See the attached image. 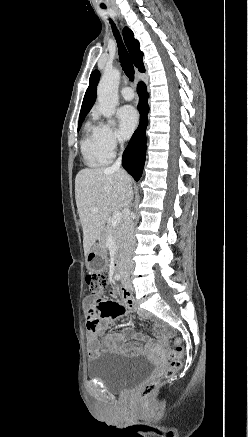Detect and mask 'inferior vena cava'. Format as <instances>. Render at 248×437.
Masks as SVG:
<instances>
[{"mask_svg": "<svg viewBox=\"0 0 248 437\" xmlns=\"http://www.w3.org/2000/svg\"><path fill=\"white\" fill-rule=\"evenodd\" d=\"M120 143H121V149L123 150V141L120 140ZM121 155H122V152H121L120 156L118 157V159L115 161V163L111 166L112 170H119L120 169L121 160H122ZM132 199H133V191H132V187H130L127 190L126 200H125V207H126L127 215H126L125 220H124V226H123L124 242L122 245V263L124 266H127V267H132V265H133L132 252H133V249H134L135 244H136V239H135V235H134V222H133L132 216L130 214V210H129Z\"/></svg>", "mask_w": 248, "mask_h": 437, "instance_id": "obj_1", "label": "inferior vena cava"}]
</instances>
